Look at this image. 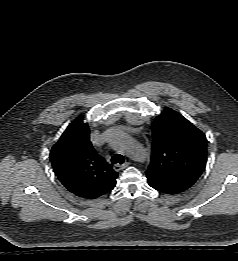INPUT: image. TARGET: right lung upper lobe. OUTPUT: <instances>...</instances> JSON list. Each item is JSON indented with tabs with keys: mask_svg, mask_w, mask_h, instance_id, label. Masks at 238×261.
Masks as SVG:
<instances>
[{
	"mask_svg": "<svg viewBox=\"0 0 238 261\" xmlns=\"http://www.w3.org/2000/svg\"><path fill=\"white\" fill-rule=\"evenodd\" d=\"M83 115L72 121L52 147L50 160L58 179L74 195L95 199L111 191L118 173L95 151Z\"/></svg>",
	"mask_w": 238,
	"mask_h": 261,
	"instance_id": "obj_1",
	"label": "right lung upper lobe"
}]
</instances>
